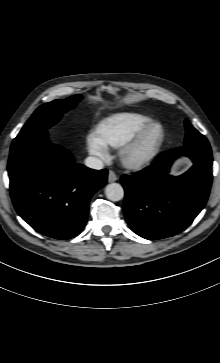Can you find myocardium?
<instances>
[{
	"label": "myocardium",
	"mask_w": 220,
	"mask_h": 363,
	"mask_svg": "<svg viewBox=\"0 0 220 363\" xmlns=\"http://www.w3.org/2000/svg\"><path fill=\"white\" fill-rule=\"evenodd\" d=\"M165 140V128L159 122L145 126L119 149L121 163L129 169H142L157 158Z\"/></svg>",
	"instance_id": "obj_1"
}]
</instances>
